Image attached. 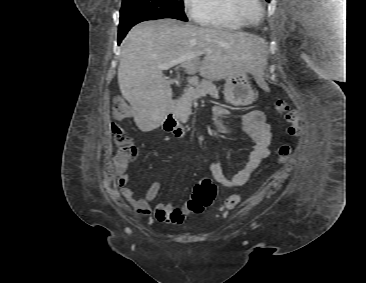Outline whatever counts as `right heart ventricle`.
<instances>
[{
	"label": "right heart ventricle",
	"mask_w": 366,
	"mask_h": 283,
	"mask_svg": "<svg viewBox=\"0 0 366 283\" xmlns=\"http://www.w3.org/2000/svg\"><path fill=\"white\" fill-rule=\"evenodd\" d=\"M235 0H206L205 8L198 22L220 30H240L245 24L234 11Z\"/></svg>",
	"instance_id": "right-heart-ventricle-1"
}]
</instances>
